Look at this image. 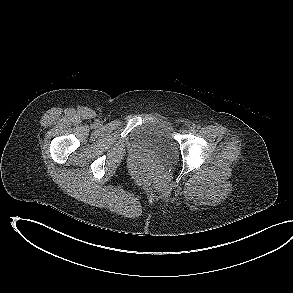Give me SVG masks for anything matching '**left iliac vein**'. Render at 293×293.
<instances>
[{"label": "left iliac vein", "mask_w": 293, "mask_h": 293, "mask_svg": "<svg viewBox=\"0 0 293 293\" xmlns=\"http://www.w3.org/2000/svg\"><path fill=\"white\" fill-rule=\"evenodd\" d=\"M188 131H189V133H193V132H195V127H189V129H188Z\"/></svg>", "instance_id": "obj_1"}]
</instances>
